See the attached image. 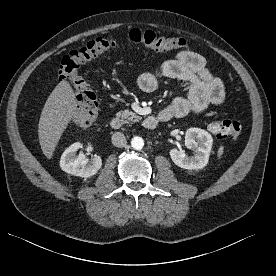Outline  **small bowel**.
Returning <instances> with one entry per match:
<instances>
[{"label":"small bowel","instance_id":"1","mask_svg":"<svg viewBox=\"0 0 276 276\" xmlns=\"http://www.w3.org/2000/svg\"><path fill=\"white\" fill-rule=\"evenodd\" d=\"M171 78L189 84L187 97L174 99L160 114L169 119L188 114H200L210 105H220L225 98L224 85L206 66L199 53L183 50L174 58L158 64L154 71L144 72L138 77V86L144 92L156 89L160 78Z\"/></svg>","mask_w":276,"mask_h":276}]
</instances>
